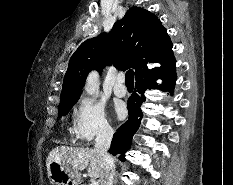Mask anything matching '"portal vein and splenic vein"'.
<instances>
[{
  "label": "portal vein and splenic vein",
  "instance_id": "1",
  "mask_svg": "<svg viewBox=\"0 0 233 185\" xmlns=\"http://www.w3.org/2000/svg\"><path fill=\"white\" fill-rule=\"evenodd\" d=\"M89 185H98V182L92 181L91 184H89Z\"/></svg>",
  "mask_w": 233,
  "mask_h": 185
}]
</instances>
